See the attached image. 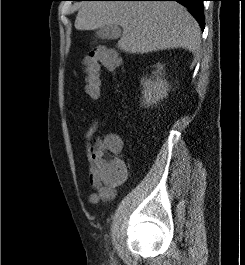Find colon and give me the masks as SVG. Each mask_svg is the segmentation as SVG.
Masks as SVG:
<instances>
[{"mask_svg":"<svg viewBox=\"0 0 245 265\" xmlns=\"http://www.w3.org/2000/svg\"><path fill=\"white\" fill-rule=\"evenodd\" d=\"M121 60L117 53L105 47L95 48L84 59L85 93L88 98L96 100L100 97V68L105 67L111 72L120 68ZM122 149V141L116 136H110L104 145L94 154L95 167L108 179L117 180L125 175V165L118 157Z\"/></svg>","mask_w":245,"mask_h":265,"instance_id":"obj_1","label":"colon"}]
</instances>
